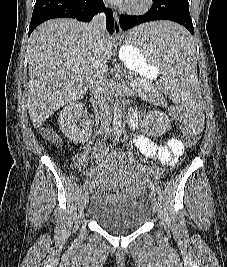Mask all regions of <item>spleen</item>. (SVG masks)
Segmentation results:
<instances>
[{
	"label": "spleen",
	"instance_id": "1",
	"mask_svg": "<svg viewBox=\"0 0 227 267\" xmlns=\"http://www.w3.org/2000/svg\"><path fill=\"white\" fill-rule=\"evenodd\" d=\"M124 43L128 47H139L144 59L159 63L162 76H156L155 80L164 81L168 94L178 104L190 105L177 106L179 115H202L193 44L197 38H192L181 22L151 19L140 27H131V31L125 33ZM182 121L186 129H192V134H199V129H205L206 116H182Z\"/></svg>",
	"mask_w": 227,
	"mask_h": 267
}]
</instances>
